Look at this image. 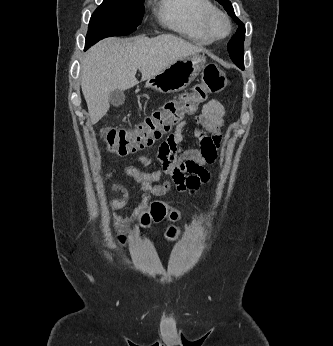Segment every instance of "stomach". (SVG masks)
Returning a JSON list of instances; mask_svg holds the SVG:
<instances>
[{
	"label": "stomach",
	"mask_w": 333,
	"mask_h": 346,
	"mask_svg": "<svg viewBox=\"0 0 333 346\" xmlns=\"http://www.w3.org/2000/svg\"><path fill=\"white\" fill-rule=\"evenodd\" d=\"M206 57L199 53L177 60L155 76L147 79L146 86L161 93L185 89L204 68Z\"/></svg>",
	"instance_id": "stomach-1"
}]
</instances>
